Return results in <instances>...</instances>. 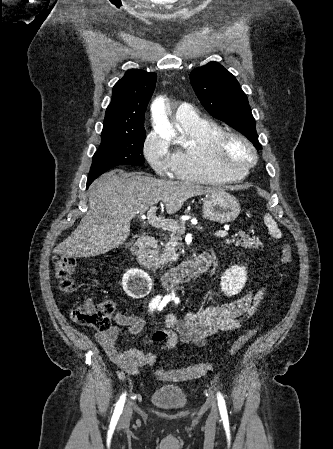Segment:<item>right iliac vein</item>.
Returning <instances> with one entry per match:
<instances>
[{
	"mask_svg": "<svg viewBox=\"0 0 333 449\" xmlns=\"http://www.w3.org/2000/svg\"><path fill=\"white\" fill-rule=\"evenodd\" d=\"M131 416H132V409L129 405H127L124 409L122 416H121L120 424L123 426L129 424Z\"/></svg>",
	"mask_w": 333,
	"mask_h": 449,
	"instance_id": "1",
	"label": "right iliac vein"
}]
</instances>
